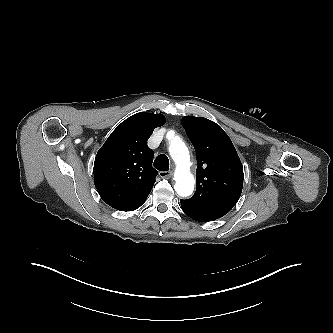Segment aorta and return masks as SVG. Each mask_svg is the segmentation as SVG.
Here are the masks:
<instances>
[{
	"label": "aorta",
	"instance_id": "1",
	"mask_svg": "<svg viewBox=\"0 0 333 333\" xmlns=\"http://www.w3.org/2000/svg\"><path fill=\"white\" fill-rule=\"evenodd\" d=\"M169 152L176 163L174 189L181 197L190 196L194 190L195 179L190 171V155L184 142L180 138H173Z\"/></svg>",
	"mask_w": 333,
	"mask_h": 333
}]
</instances>
